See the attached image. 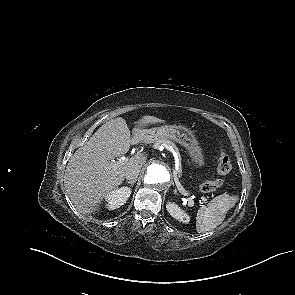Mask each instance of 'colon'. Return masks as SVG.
Here are the masks:
<instances>
[{"instance_id": "1", "label": "colon", "mask_w": 295, "mask_h": 295, "mask_svg": "<svg viewBox=\"0 0 295 295\" xmlns=\"http://www.w3.org/2000/svg\"><path fill=\"white\" fill-rule=\"evenodd\" d=\"M231 168L232 165L230 157L226 152L222 151L217 161V177L203 182L200 186V190L203 193H210L216 191L222 185L223 178L229 174Z\"/></svg>"}]
</instances>
